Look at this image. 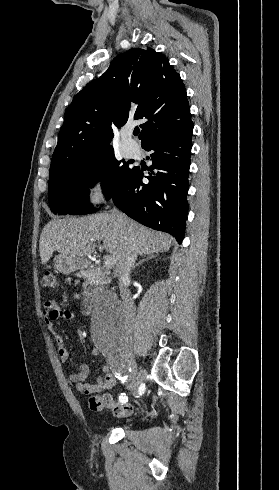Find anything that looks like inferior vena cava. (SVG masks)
I'll return each instance as SVG.
<instances>
[{"label": "inferior vena cava", "instance_id": "1", "mask_svg": "<svg viewBox=\"0 0 279 490\" xmlns=\"http://www.w3.org/2000/svg\"><path fill=\"white\" fill-rule=\"evenodd\" d=\"M111 216L112 218H114V220H116L117 226H125L127 218L125 214L119 212L117 208H113L111 212ZM133 246H130V248H128V252L125 258V262L123 264V268H121V272H119V276H118V286L120 290V296L123 300V312L127 320L126 324H128V326H133L135 322V316H136V306L131 296V292L127 288V284L128 282H130L131 270H133L135 266V262L138 258V252H136Z\"/></svg>", "mask_w": 279, "mask_h": 490}]
</instances>
